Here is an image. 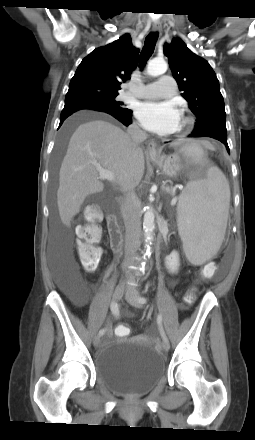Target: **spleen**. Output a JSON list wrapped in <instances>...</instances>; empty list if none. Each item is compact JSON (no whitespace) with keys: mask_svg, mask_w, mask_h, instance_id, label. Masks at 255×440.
I'll use <instances>...</instances> for the list:
<instances>
[{"mask_svg":"<svg viewBox=\"0 0 255 440\" xmlns=\"http://www.w3.org/2000/svg\"><path fill=\"white\" fill-rule=\"evenodd\" d=\"M195 164L207 159L201 147L184 150ZM230 189L218 167H211L207 179L191 181L182 191L177 207L178 230L191 263L200 265L219 250L227 226Z\"/></svg>","mask_w":255,"mask_h":440,"instance_id":"spleen-1","label":"spleen"}]
</instances>
